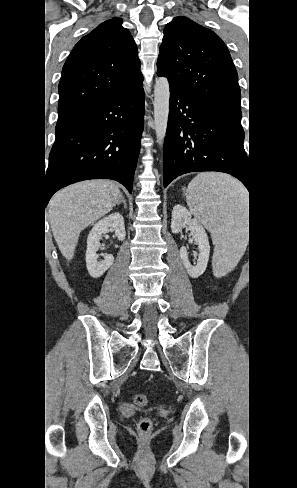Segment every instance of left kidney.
Instances as JSON below:
<instances>
[{"label": "left kidney", "instance_id": "1", "mask_svg": "<svg viewBox=\"0 0 297 488\" xmlns=\"http://www.w3.org/2000/svg\"><path fill=\"white\" fill-rule=\"evenodd\" d=\"M186 226L190 229L199 248L197 263L195 265L191 264L186 247L182 246L179 253L188 274L192 278H198L205 272L209 260L210 245L208 236L203 225L197 219H192L191 213L186 207L178 204L172 210L171 230L173 233H178Z\"/></svg>", "mask_w": 297, "mask_h": 488}]
</instances>
